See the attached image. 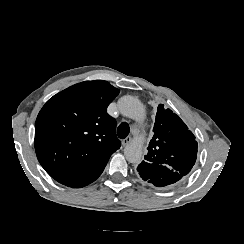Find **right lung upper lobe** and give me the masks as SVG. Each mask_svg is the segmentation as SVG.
Wrapping results in <instances>:
<instances>
[{
  "mask_svg": "<svg viewBox=\"0 0 244 244\" xmlns=\"http://www.w3.org/2000/svg\"><path fill=\"white\" fill-rule=\"evenodd\" d=\"M118 93L107 81H84L43 106L35 123V150L56 181L90 183L120 148L116 121L107 114Z\"/></svg>",
  "mask_w": 244,
  "mask_h": 244,
  "instance_id": "cb5924a9",
  "label": "right lung upper lobe"
}]
</instances>
